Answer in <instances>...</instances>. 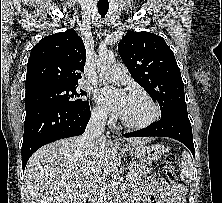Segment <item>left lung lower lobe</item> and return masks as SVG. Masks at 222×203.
Returning <instances> with one entry per match:
<instances>
[{
	"mask_svg": "<svg viewBox=\"0 0 222 203\" xmlns=\"http://www.w3.org/2000/svg\"><path fill=\"white\" fill-rule=\"evenodd\" d=\"M124 137H148V136H162L170 137L182 142L195 156L193 136L191 123L189 121L187 111L185 110H171L164 115L161 119L146 128L127 133Z\"/></svg>",
	"mask_w": 222,
	"mask_h": 203,
	"instance_id": "1",
	"label": "left lung lower lobe"
}]
</instances>
